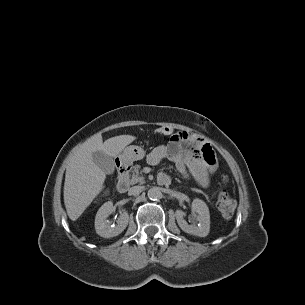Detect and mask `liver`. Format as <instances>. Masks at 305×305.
Masks as SVG:
<instances>
[{
  "label": "liver",
  "mask_w": 305,
  "mask_h": 305,
  "mask_svg": "<svg viewBox=\"0 0 305 305\" xmlns=\"http://www.w3.org/2000/svg\"><path fill=\"white\" fill-rule=\"evenodd\" d=\"M135 139L132 135H119L103 142L102 136L95 134L76 149L64 182V204L71 220H77L104 188L106 174L94 163L92 153L102 151L116 157Z\"/></svg>",
  "instance_id": "obj_1"
}]
</instances>
